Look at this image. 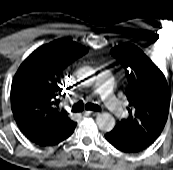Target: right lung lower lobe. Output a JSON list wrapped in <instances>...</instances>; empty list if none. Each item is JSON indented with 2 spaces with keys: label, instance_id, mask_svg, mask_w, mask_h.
<instances>
[{
  "label": "right lung lower lobe",
  "instance_id": "obj_1",
  "mask_svg": "<svg viewBox=\"0 0 173 170\" xmlns=\"http://www.w3.org/2000/svg\"><path fill=\"white\" fill-rule=\"evenodd\" d=\"M76 122L74 123V125H72L70 128L62 131L61 133L51 137V138H48V139H45V140H42V141H35L34 143L37 144V145H40V146H52V145H56L58 143H60L61 141L65 140L66 138H68L74 131L75 127H76Z\"/></svg>",
  "mask_w": 173,
  "mask_h": 170
}]
</instances>
